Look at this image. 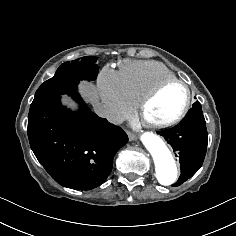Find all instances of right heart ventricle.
<instances>
[{
	"label": "right heart ventricle",
	"mask_w": 236,
	"mask_h": 236,
	"mask_svg": "<svg viewBox=\"0 0 236 236\" xmlns=\"http://www.w3.org/2000/svg\"><path fill=\"white\" fill-rule=\"evenodd\" d=\"M121 74L126 91L134 103H138L160 81L177 77L165 64L148 60L124 63Z\"/></svg>",
	"instance_id": "obj_1"
}]
</instances>
